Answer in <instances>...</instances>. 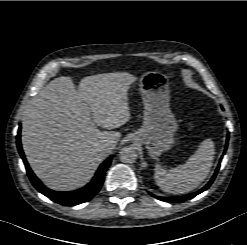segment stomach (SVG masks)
Segmentation results:
<instances>
[{
  "instance_id": "0dacf381",
  "label": "stomach",
  "mask_w": 247,
  "mask_h": 245,
  "mask_svg": "<svg viewBox=\"0 0 247 245\" xmlns=\"http://www.w3.org/2000/svg\"><path fill=\"white\" fill-rule=\"evenodd\" d=\"M139 86L144 117L143 125L136 131L133 140L145 144L149 155L156 158L171 148L178 129L170 110L168 77L160 71H148L141 76Z\"/></svg>"
}]
</instances>
